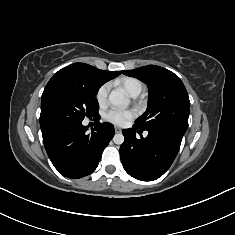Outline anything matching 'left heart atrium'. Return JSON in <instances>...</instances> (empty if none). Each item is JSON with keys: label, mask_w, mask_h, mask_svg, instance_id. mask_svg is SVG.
I'll list each match as a JSON object with an SVG mask.
<instances>
[{"label": "left heart atrium", "mask_w": 235, "mask_h": 235, "mask_svg": "<svg viewBox=\"0 0 235 235\" xmlns=\"http://www.w3.org/2000/svg\"><path fill=\"white\" fill-rule=\"evenodd\" d=\"M135 116L136 112L132 109L111 108L105 113L104 118L115 125L124 126Z\"/></svg>", "instance_id": "39dd6f15"}]
</instances>
